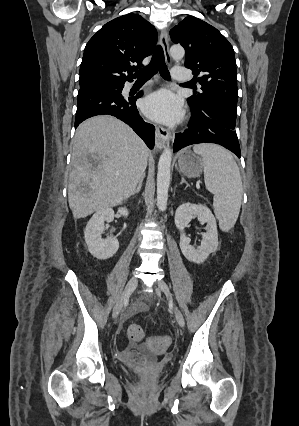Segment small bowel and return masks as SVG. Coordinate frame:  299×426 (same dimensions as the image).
<instances>
[{
    "label": "small bowel",
    "instance_id": "small-bowel-1",
    "mask_svg": "<svg viewBox=\"0 0 299 426\" xmlns=\"http://www.w3.org/2000/svg\"><path fill=\"white\" fill-rule=\"evenodd\" d=\"M146 311L143 304H137L134 312L142 313ZM121 360L131 366L146 365L152 361L150 350L145 346H139L137 342L129 341L127 345L119 352Z\"/></svg>",
    "mask_w": 299,
    "mask_h": 426
}]
</instances>
